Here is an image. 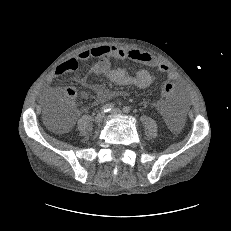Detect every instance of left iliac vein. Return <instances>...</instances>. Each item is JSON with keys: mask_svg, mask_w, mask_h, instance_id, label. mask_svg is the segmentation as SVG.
<instances>
[{"mask_svg": "<svg viewBox=\"0 0 231 231\" xmlns=\"http://www.w3.org/2000/svg\"><path fill=\"white\" fill-rule=\"evenodd\" d=\"M111 113H112L113 115H121V114H122V111H121L120 109H118V108H115V109H113V110L111 111Z\"/></svg>", "mask_w": 231, "mask_h": 231, "instance_id": "obj_1", "label": "left iliac vein"}]
</instances>
